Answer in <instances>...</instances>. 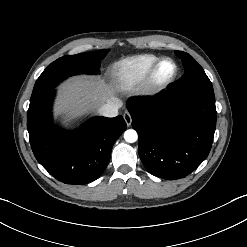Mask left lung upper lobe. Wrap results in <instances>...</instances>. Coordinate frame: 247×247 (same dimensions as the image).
I'll list each match as a JSON object with an SVG mask.
<instances>
[{"label":"left lung upper lobe","mask_w":247,"mask_h":247,"mask_svg":"<svg viewBox=\"0 0 247 247\" xmlns=\"http://www.w3.org/2000/svg\"><path fill=\"white\" fill-rule=\"evenodd\" d=\"M184 66L183 76L171 87L174 91L213 90L203 68L189 54L175 50Z\"/></svg>","instance_id":"left-lung-upper-lobe-1"}]
</instances>
